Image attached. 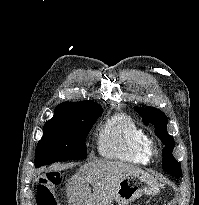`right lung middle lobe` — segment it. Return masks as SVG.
Masks as SVG:
<instances>
[{
	"label": "right lung middle lobe",
	"mask_w": 199,
	"mask_h": 205,
	"mask_svg": "<svg viewBox=\"0 0 199 205\" xmlns=\"http://www.w3.org/2000/svg\"><path fill=\"white\" fill-rule=\"evenodd\" d=\"M96 103H77L55 108L54 116L44 124V133L35 151L37 168L58 161L85 159V140L102 114Z\"/></svg>",
	"instance_id": "1"
}]
</instances>
